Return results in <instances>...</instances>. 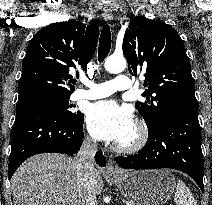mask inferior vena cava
<instances>
[{"mask_svg": "<svg viewBox=\"0 0 212 205\" xmlns=\"http://www.w3.org/2000/svg\"><path fill=\"white\" fill-rule=\"evenodd\" d=\"M96 151L97 143L89 138H86L75 158L80 205H98L96 195L94 193V156Z\"/></svg>", "mask_w": 212, "mask_h": 205, "instance_id": "inferior-vena-cava-1", "label": "inferior vena cava"}]
</instances>
